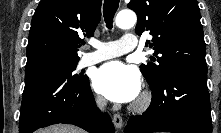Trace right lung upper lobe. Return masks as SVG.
<instances>
[{
    "mask_svg": "<svg viewBox=\"0 0 221 133\" xmlns=\"http://www.w3.org/2000/svg\"><path fill=\"white\" fill-rule=\"evenodd\" d=\"M102 0H41L31 22L25 72L79 61L81 37L101 19Z\"/></svg>",
    "mask_w": 221,
    "mask_h": 133,
    "instance_id": "obj_1",
    "label": "right lung upper lobe"
}]
</instances>
